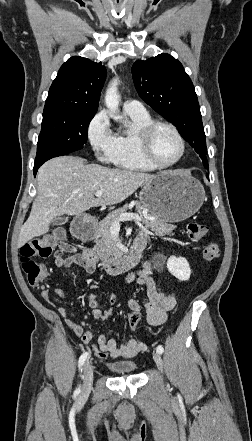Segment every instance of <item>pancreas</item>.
I'll return each instance as SVG.
<instances>
[{"label": "pancreas", "instance_id": "pancreas-1", "mask_svg": "<svg viewBox=\"0 0 252 441\" xmlns=\"http://www.w3.org/2000/svg\"><path fill=\"white\" fill-rule=\"evenodd\" d=\"M135 207L138 215H142L146 208L140 203H137ZM127 210L128 205H125L108 214L102 221L99 222L96 228V245L94 246L93 250L96 252L97 257L101 261L107 262L113 260L120 254V251L111 236V227L113 222L116 221L121 214L126 213ZM143 224L145 228L150 229L160 235L171 234L176 228L175 225L161 221L157 218L144 219Z\"/></svg>", "mask_w": 252, "mask_h": 441}]
</instances>
